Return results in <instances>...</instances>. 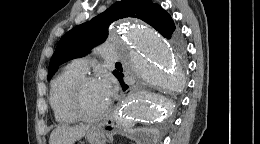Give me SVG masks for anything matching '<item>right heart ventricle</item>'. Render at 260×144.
I'll return each instance as SVG.
<instances>
[{"mask_svg":"<svg viewBox=\"0 0 260 144\" xmlns=\"http://www.w3.org/2000/svg\"><path fill=\"white\" fill-rule=\"evenodd\" d=\"M83 77V73L72 65H67L52 81L50 104L55 120L62 125L72 124L77 119L68 108V98L74 84Z\"/></svg>","mask_w":260,"mask_h":144,"instance_id":"e07e8e85","label":"right heart ventricle"}]
</instances>
